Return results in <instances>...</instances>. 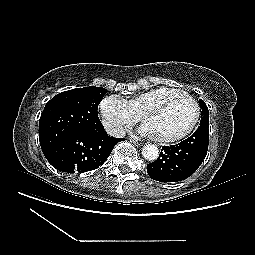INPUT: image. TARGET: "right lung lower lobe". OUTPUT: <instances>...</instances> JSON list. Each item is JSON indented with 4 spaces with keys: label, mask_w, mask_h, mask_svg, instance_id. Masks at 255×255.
<instances>
[{
    "label": "right lung lower lobe",
    "mask_w": 255,
    "mask_h": 255,
    "mask_svg": "<svg viewBox=\"0 0 255 255\" xmlns=\"http://www.w3.org/2000/svg\"><path fill=\"white\" fill-rule=\"evenodd\" d=\"M122 140L108 136L105 130L97 133L74 131L44 155L57 170L66 173H82L102 165L114 146Z\"/></svg>",
    "instance_id": "98d812e1"
}]
</instances>
